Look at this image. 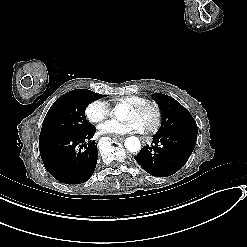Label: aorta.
<instances>
[{
    "instance_id": "obj_1",
    "label": "aorta",
    "mask_w": 247,
    "mask_h": 247,
    "mask_svg": "<svg viewBox=\"0 0 247 247\" xmlns=\"http://www.w3.org/2000/svg\"><path fill=\"white\" fill-rule=\"evenodd\" d=\"M113 112L118 120L123 121L128 114V108L124 104H118L114 107ZM124 145L125 148L132 153L138 152L141 148L139 139L134 136L127 137Z\"/></svg>"
}]
</instances>
